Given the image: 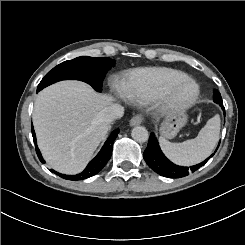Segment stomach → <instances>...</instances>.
<instances>
[{"mask_svg": "<svg viewBox=\"0 0 245 245\" xmlns=\"http://www.w3.org/2000/svg\"><path fill=\"white\" fill-rule=\"evenodd\" d=\"M188 116L185 113L171 114L166 116L160 126V133L162 136L172 139L180 129L187 123Z\"/></svg>", "mask_w": 245, "mask_h": 245, "instance_id": "stomach-1", "label": "stomach"}]
</instances>
